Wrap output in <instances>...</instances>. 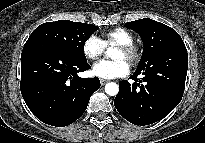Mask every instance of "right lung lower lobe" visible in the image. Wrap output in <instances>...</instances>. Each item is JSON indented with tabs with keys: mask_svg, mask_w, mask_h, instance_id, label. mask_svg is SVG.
Returning a JSON list of instances; mask_svg holds the SVG:
<instances>
[{
	"mask_svg": "<svg viewBox=\"0 0 205 143\" xmlns=\"http://www.w3.org/2000/svg\"><path fill=\"white\" fill-rule=\"evenodd\" d=\"M61 48L29 38L21 54L20 89L30 111L42 122L64 127L86 110L91 95L100 88L98 77L80 78L90 69Z\"/></svg>",
	"mask_w": 205,
	"mask_h": 143,
	"instance_id": "1",
	"label": "right lung lower lobe"
}]
</instances>
